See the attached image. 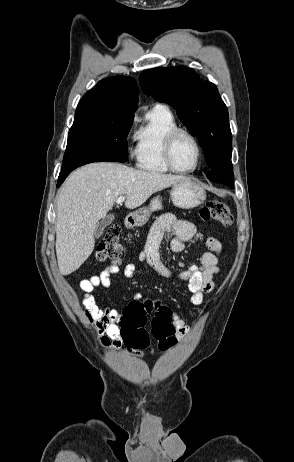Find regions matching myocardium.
I'll return each mask as SVG.
<instances>
[{
    "mask_svg": "<svg viewBox=\"0 0 294 462\" xmlns=\"http://www.w3.org/2000/svg\"><path fill=\"white\" fill-rule=\"evenodd\" d=\"M180 136L188 137L194 143L196 150H197V158H196L195 165L190 169H180L176 167V165L174 164L173 158H172V151H173L174 143L177 140V138ZM202 156H203V150H202L199 140L194 134H192L188 130L182 129V128H175L166 135L164 144H163V159H164L166 166L169 168V170L176 172V173H181V174L192 173L196 171L198 167L200 166Z\"/></svg>",
    "mask_w": 294,
    "mask_h": 462,
    "instance_id": "f54148a6",
    "label": "myocardium"
}]
</instances>
